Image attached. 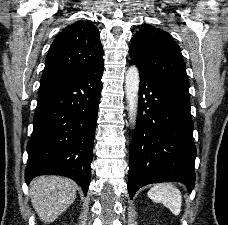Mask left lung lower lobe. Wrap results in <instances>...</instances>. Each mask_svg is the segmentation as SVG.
Returning <instances> with one entry per match:
<instances>
[{"mask_svg":"<svg viewBox=\"0 0 228 225\" xmlns=\"http://www.w3.org/2000/svg\"><path fill=\"white\" fill-rule=\"evenodd\" d=\"M137 123L129 151L128 191L151 183L195 184L196 147L192 137L189 89L140 74Z\"/></svg>","mask_w":228,"mask_h":225,"instance_id":"1","label":"left lung lower lobe"}]
</instances>
